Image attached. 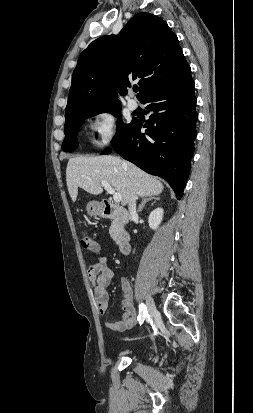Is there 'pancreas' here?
<instances>
[{
  "mask_svg": "<svg viewBox=\"0 0 253 413\" xmlns=\"http://www.w3.org/2000/svg\"><path fill=\"white\" fill-rule=\"evenodd\" d=\"M121 230H122V226H121V223L119 222V220H117V219L113 220V222H112V224H111V226H110V229H109L110 236H111L113 239H116L118 233H119Z\"/></svg>",
  "mask_w": 253,
  "mask_h": 413,
  "instance_id": "cf45deb5",
  "label": "pancreas"
}]
</instances>
